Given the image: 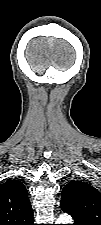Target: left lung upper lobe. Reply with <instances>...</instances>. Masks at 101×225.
I'll list each match as a JSON object with an SVG mask.
<instances>
[{
  "instance_id": "left-lung-upper-lobe-1",
  "label": "left lung upper lobe",
  "mask_w": 101,
  "mask_h": 225,
  "mask_svg": "<svg viewBox=\"0 0 101 225\" xmlns=\"http://www.w3.org/2000/svg\"><path fill=\"white\" fill-rule=\"evenodd\" d=\"M61 209L75 221L101 225V194L85 182L72 180L63 188Z\"/></svg>"
}]
</instances>
